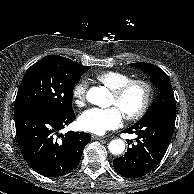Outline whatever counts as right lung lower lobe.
I'll list each match as a JSON object with an SVG mask.
<instances>
[{"instance_id":"98d812e1","label":"right lung lower lobe","mask_w":194,"mask_h":194,"mask_svg":"<svg viewBox=\"0 0 194 194\" xmlns=\"http://www.w3.org/2000/svg\"><path fill=\"white\" fill-rule=\"evenodd\" d=\"M20 151L32 169L47 177L67 175L77 167L90 134L69 131L57 141L55 134L75 120L74 111L56 114L40 107L14 111Z\"/></svg>"}]
</instances>
